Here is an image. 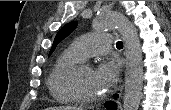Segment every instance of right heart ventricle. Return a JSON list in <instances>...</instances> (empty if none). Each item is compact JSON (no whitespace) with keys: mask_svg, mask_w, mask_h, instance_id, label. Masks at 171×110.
<instances>
[{"mask_svg":"<svg viewBox=\"0 0 171 110\" xmlns=\"http://www.w3.org/2000/svg\"><path fill=\"white\" fill-rule=\"evenodd\" d=\"M84 58L72 47L65 49L55 60L47 79L48 89L52 97L60 103H73L75 98L64 85V74Z\"/></svg>","mask_w":171,"mask_h":110,"instance_id":"right-heart-ventricle-1","label":"right heart ventricle"}]
</instances>
